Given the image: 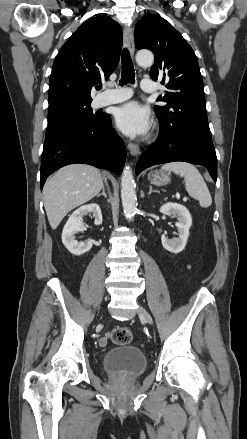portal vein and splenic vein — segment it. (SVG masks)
Masks as SVG:
<instances>
[{
    "label": "portal vein and splenic vein",
    "instance_id": "1",
    "mask_svg": "<svg viewBox=\"0 0 247 439\" xmlns=\"http://www.w3.org/2000/svg\"><path fill=\"white\" fill-rule=\"evenodd\" d=\"M183 201H187V198H186V197H184V198H183Z\"/></svg>",
    "mask_w": 247,
    "mask_h": 439
}]
</instances>
